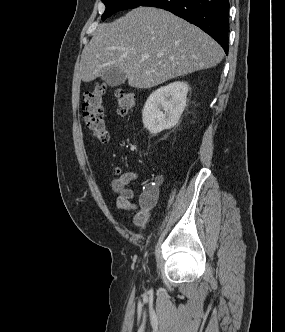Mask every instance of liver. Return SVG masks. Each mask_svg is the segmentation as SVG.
Listing matches in <instances>:
<instances>
[{"label":"liver","instance_id":"obj_1","mask_svg":"<svg viewBox=\"0 0 285 332\" xmlns=\"http://www.w3.org/2000/svg\"><path fill=\"white\" fill-rule=\"evenodd\" d=\"M223 56L222 47L195 25L163 9L138 7L97 27L83 49L79 74L91 82L118 68L129 86L147 89L212 68Z\"/></svg>","mask_w":285,"mask_h":332}]
</instances>
